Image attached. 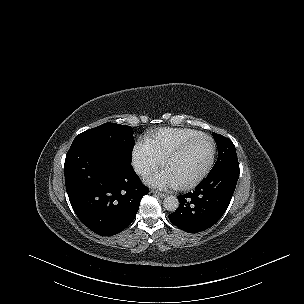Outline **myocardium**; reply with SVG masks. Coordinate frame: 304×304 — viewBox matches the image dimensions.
Returning <instances> with one entry per match:
<instances>
[{
  "label": "myocardium",
  "mask_w": 304,
  "mask_h": 304,
  "mask_svg": "<svg viewBox=\"0 0 304 304\" xmlns=\"http://www.w3.org/2000/svg\"><path fill=\"white\" fill-rule=\"evenodd\" d=\"M203 139H207L211 142L212 144V151H211V155L210 158L207 162V164L205 165V167L203 168V170L191 181L189 182H185V183H180L177 184V188L179 189H189L192 188L196 185H198L209 173V171L211 170L214 160H215V154H216V143L214 141V139L206 134H202V135H198L195 138L179 145L176 149H174L165 159L164 163H163V170L165 172H167V168L169 166V164L171 163V161H173L175 158H177L180 154H182L185 150H187L190 146L196 144L197 142L203 140Z\"/></svg>",
  "instance_id": "obj_1"
}]
</instances>
